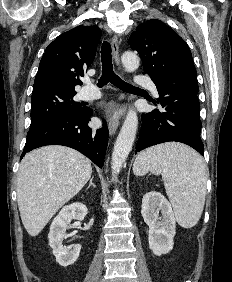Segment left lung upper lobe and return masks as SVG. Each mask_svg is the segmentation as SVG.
<instances>
[{"label":"left lung upper lobe","mask_w":232,"mask_h":282,"mask_svg":"<svg viewBox=\"0 0 232 282\" xmlns=\"http://www.w3.org/2000/svg\"><path fill=\"white\" fill-rule=\"evenodd\" d=\"M153 82L198 85L191 51L173 29L152 19L137 26L128 41Z\"/></svg>","instance_id":"1"}]
</instances>
